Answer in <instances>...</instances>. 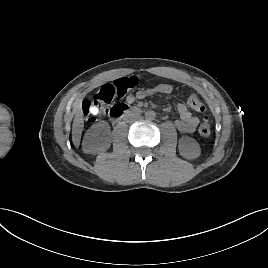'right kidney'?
<instances>
[{
  "label": "right kidney",
  "mask_w": 268,
  "mask_h": 268,
  "mask_svg": "<svg viewBox=\"0 0 268 268\" xmlns=\"http://www.w3.org/2000/svg\"><path fill=\"white\" fill-rule=\"evenodd\" d=\"M110 145V126L106 122H99L92 125L85 133L82 149L85 153L97 154L106 151Z\"/></svg>",
  "instance_id": "ca27d5eb"
}]
</instances>
